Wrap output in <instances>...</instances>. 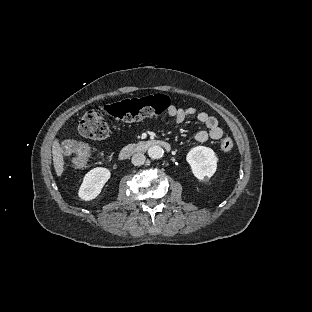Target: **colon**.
Segmentation results:
<instances>
[{
  "label": "colon",
  "mask_w": 312,
  "mask_h": 312,
  "mask_svg": "<svg viewBox=\"0 0 312 312\" xmlns=\"http://www.w3.org/2000/svg\"><path fill=\"white\" fill-rule=\"evenodd\" d=\"M169 106V98L160 94L119 101L108 105L105 112L97 109L85 112L79 120L77 130L84 137L104 139L110 132L106 118H111L117 123H134L145 118L157 117ZM233 147L234 141L231 137H226L221 141V151L229 152ZM62 150L80 167L87 164L91 153L88 146L74 139H67Z\"/></svg>",
  "instance_id": "5ec220e1"
}]
</instances>
